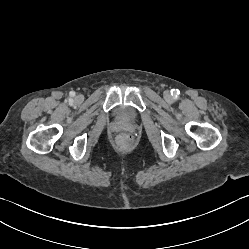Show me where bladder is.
I'll list each match as a JSON object with an SVG mask.
<instances>
[{
  "label": "bladder",
  "mask_w": 249,
  "mask_h": 249,
  "mask_svg": "<svg viewBox=\"0 0 249 249\" xmlns=\"http://www.w3.org/2000/svg\"><path fill=\"white\" fill-rule=\"evenodd\" d=\"M115 115L119 120L130 121L135 118V112L131 107L121 105L116 108Z\"/></svg>",
  "instance_id": "1"
}]
</instances>
